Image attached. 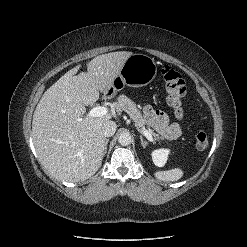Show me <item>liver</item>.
Returning <instances> with one entry per match:
<instances>
[{"instance_id":"1","label":"liver","mask_w":247,"mask_h":247,"mask_svg":"<svg viewBox=\"0 0 247 247\" xmlns=\"http://www.w3.org/2000/svg\"><path fill=\"white\" fill-rule=\"evenodd\" d=\"M127 51L99 55L87 64V73L71 69L48 88L33 114L32 139L44 167L56 179L84 181L93 176L103 160V124L111 119L84 116L85 106L108 93L120 74Z\"/></svg>"}]
</instances>
